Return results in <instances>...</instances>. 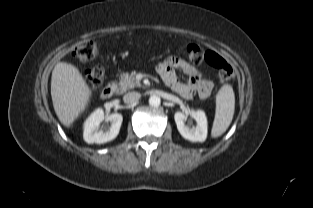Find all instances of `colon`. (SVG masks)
<instances>
[{
  "label": "colon",
  "instance_id": "colon-1",
  "mask_svg": "<svg viewBox=\"0 0 313 208\" xmlns=\"http://www.w3.org/2000/svg\"><path fill=\"white\" fill-rule=\"evenodd\" d=\"M185 55L194 63H208L218 71V77L222 82H228L234 77V70L231 65L220 55L212 51H203L195 44H189L184 48ZM74 56L81 62L92 60L97 54V45L93 41H86L77 46L73 52ZM104 77V70L101 66H95L86 73V79L91 88H98Z\"/></svg>",
  "mask_w": 313,
  "mask_h": 208
}]
</instances>
